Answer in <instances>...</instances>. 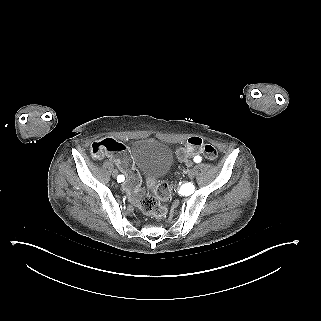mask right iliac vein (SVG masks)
<instances>
[{"mask_svg": "<svg viewBox=\"0 0 321 321\" xmlns=\"http://www.w3.org/2000/svg\"><path fill=\"white\" fill-rule=\"evenodd\" d=\"M117 175H118L117 170H113V171H112V176H113L114 178H116V177H117ZM117 178H118V177H117Z\"/></svg>", "mask_w": 321, "mask_h": 321, "instance_id": "obj_1", "label": "right iliac vein"}]
</instances>
